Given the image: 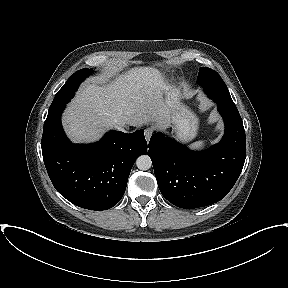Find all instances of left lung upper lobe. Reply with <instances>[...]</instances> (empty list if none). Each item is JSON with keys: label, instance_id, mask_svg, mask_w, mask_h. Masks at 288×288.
Masks as SVG:
<instances>
[{"label": "left lung upper lobe", "instance_id": "5c2ea615", "mask_svg": "<svg viewBox=\"0 0 288 288\" xmlns=\"http://www.w3.org/2000/svg\"><path fill=\"white\" fill-rule=\"evenodd\" d=\"M197 82L204 87L209 98L234 104L226 84L214 70L205 67L200 68Z\"/></svg>", "mask_w": 288, "mask_h": 288}]
</instances>
